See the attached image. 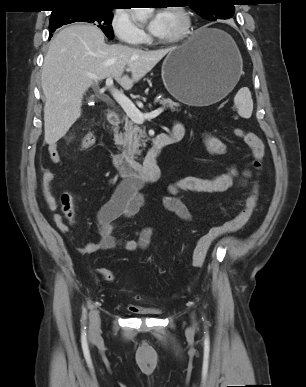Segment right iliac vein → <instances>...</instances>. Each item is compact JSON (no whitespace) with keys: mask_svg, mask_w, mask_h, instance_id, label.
I'll return each instance as SVG.
<instances>
[{"mask_svg":"<svg viewBox=\"0 0 306 387\" xmlns=\"http://www.w3.org/2000/svg\"><path fill=\"white\" fill-rule=\"evenodd\" d=\"M90 332L92 335H96L100 328V317L97 311L92 310L90 312Z\"/></svg>","mask_w":306,"mask_h":387,"instance_id":"right-iliac-vein-1","label":"right iliac vein"}]
</instances>
